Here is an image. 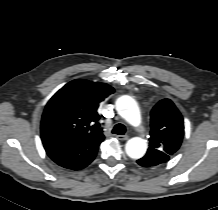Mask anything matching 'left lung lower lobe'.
Segmentation results:
<instances>
[{
	"mask_svg": "<svg viewBox=\"0 0 218 210\" xmlns=\"http://www.w3.org/2000/svg\"><path fill=\"white\" fill-rule=\"evenodd\" d=\"M137 163L143 167H150V162H148V160L144 157L137 160Z\"/></svg>",
	"mask_w": 218,
	"mask_h": 210,
	"instance_id": "obj_1",
	"label": "left lung lower lobe"
}]
</instances>
